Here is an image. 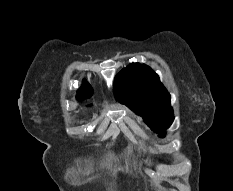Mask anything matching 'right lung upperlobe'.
I'll use <instances>...</instances> for the list:
<instances>
[{
    "instance_id": "obj_1",
    "label": "right lung upper lobe",
    "mask_w": 233,
    "mask_h": 191,
    "mask_svg": "<svg viewBox=\"0 0 233 191\" xmlns=\"http://www.w3.org/2000/svg\"><path fill=\"white\" fill-rule=\"evenodd\" d=\"M93 90L91 86L84 81L83 86L77 92V99L82 100L90 98L92 96Z\"/></svg>"
}]
</instances>
